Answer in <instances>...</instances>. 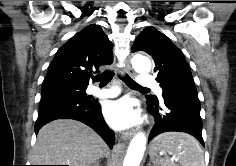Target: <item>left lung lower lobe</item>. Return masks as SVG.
<instances>
[{"mask_svg":"<svg viewBox=\"0 0 236 166\" xmlns=\"http://www.w3.org/2000/svg\"><path fill=\"white\" fill-rule=\"evenodd\" d=\"M164 109L155 99L149 100L148 110L155 117V125L149 141L155 136L170 131L186 132L193 135L203 146L200 101L195 86L173 85L163 89Z\"/></svg>","mask_w":236,"mask_h":166,"instance_id":"left-lung-lower-lobe-1","label":"left lung lower lobe"}]
</instances>
